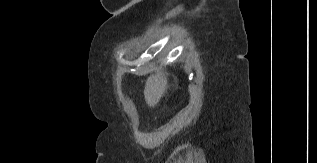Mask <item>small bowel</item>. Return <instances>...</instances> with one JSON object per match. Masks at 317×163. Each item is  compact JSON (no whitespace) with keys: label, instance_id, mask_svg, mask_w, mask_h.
I'll return each instance as SVG.
<instances>
[{"label":"small bowel","instance_id":"small-bowel-1","mask_svg":"<svg viewBox=\"0 0 317 163\" xmlns=\"http://www.w3.org/2000/svg\"><path fill=\"white\" fill-rule=\"evenodd\" d=\"M126 109H127L128 113H130L131 115H134L135 111H134V107H133L132 103L128 102L126 105Z\"/></svg>","mask_w":317,"mask_h":163}]
</instances>
